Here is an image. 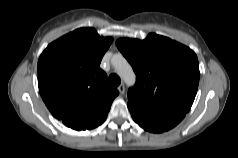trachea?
<instances>
[{
	"mask_svg": "<svg viewBox=\"0 0 238 158\" xmlns=\"http://www.w3.org/2000/svg\"><path fill=\"white\" fill-rule=\"evenodd\" d=\"M109 82H110V84H111L112 86H118V85L120 84L121 80H120V78H119L118 75H116V74H111V75L109 76Z\"/></svg>",
	"mask_w": 238,
	"mask_h": 158,
	"instance_id": "trachea-1",
	"label": "trachea"
}]
</instances>
